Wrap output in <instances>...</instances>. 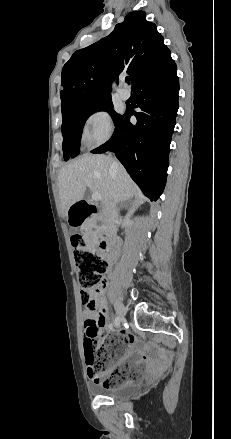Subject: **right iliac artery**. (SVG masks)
I'll use <instances>...</instances> for the list:
<instances>
[{"label":"right iliac artery","instance_id":"1","mask_svg":"<svg viewBox=\"0 0 231 439\" xmlns=\"http://www.w3.org/2000/svg\"><path fill=\"white\" fill-rule=\"evenodd\" d=\"M114 324H115V326H119L120 325V321L117 318H115Z\"/></svg>","mask_w":231,"mask_h":439}]
</instances>
